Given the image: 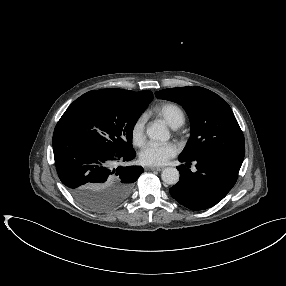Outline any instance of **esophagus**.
<instances>
[{"mask_svg":"<svg viewBox=\"0 0 286 286\" xmlns=\"http://www.w3.org/2000/svg\"><path fill=\"white\" fill-rule=\"evenodd\" d=\"M148 169L152 171H162L164 167H149Z\"/></svg>","mask_w":286,"mask_h":286,"instance_id":"esophagus-1","label":"esophagus"}]
</instances>
